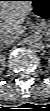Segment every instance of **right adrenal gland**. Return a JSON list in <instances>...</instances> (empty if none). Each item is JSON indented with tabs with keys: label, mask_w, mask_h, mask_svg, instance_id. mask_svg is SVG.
Listing matches in <instances>:
<instances>
[{
	"label": "right adrenal gland",
	"mask_w": 50,
	"mask_h": 111,
	"mask_svg": "<svg viewBox=\"0 0 50 111\" xmlns=\"http://www.w3.org/2000/svg\"><path fill=\"white\" fill-rule=\"evenodd\" d=\"M3 47L8 48V47H9V44H1V48H3Z\"/></svg>",
	"instance_id": "2a0ac1e0"
}]
</instances>
